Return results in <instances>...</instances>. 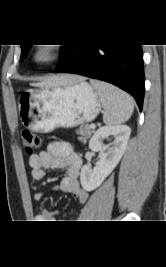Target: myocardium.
<instances>
[{"label": "myocardium", "instance_id": "f54148a6", "mask_svg": "<svg viewBox=\"0 0 166 267\" xmlns=\"http://www.w3.org/2000/svg\"><path fill=\"white\" fill-rule=\"evenodd\" d=\"M62 53L60 46L55 44H38L33 46L30 60L33 64L38 66L49 65L57 61Z\"/></svg>", "mask_w": 166, "mask_h": 267}]
</instances>
